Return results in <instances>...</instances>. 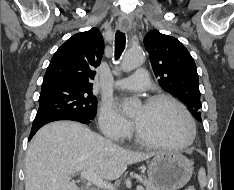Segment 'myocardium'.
<instances>
[{"mask_svg":"<svg viewBox=\"0 0 234 190\" xmlns=\"http://www.w3.org/2000/svg\"><path fill=\"white\" fill-rule=\"evenodd\" d=\"M160 101H168V102L174 104L184 114V116L188 122V125H189L188 138L185 141L180 142V143L158 142V141L152 140V139L148 138L147 136H145L144 133L139 128V126L137 125V123L134 121L133 126H134V131H135V135H136L137 140L144 145H147L150 147H155V148L183 149V148H186V147H189L190 145H192V143L194 142L195 137H196V125H195L194 119H193L192 115L190 114L189 110L187 109V107L182 102H180L178 99H176L175 97H173L169 94H164V93L156 94V95L149 97L146 100L145 104L152 105V104H155V103L160 102Z\"/></svg>","mask_w":234,"mask_h":190,"instance_id":"1","label":"myocardium"}]
</instances>
